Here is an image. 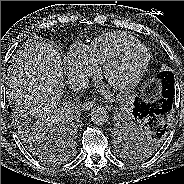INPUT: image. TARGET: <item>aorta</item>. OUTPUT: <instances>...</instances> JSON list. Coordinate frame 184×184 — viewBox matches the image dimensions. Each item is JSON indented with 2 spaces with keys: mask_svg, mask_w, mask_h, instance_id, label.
Instances as JSON below:
<instances>
[{
  "mask_svg": "<svg viewBox=\"0 0 184 184\" xmlns=\"http://www.w3.org/2000/svg\"><path fill=\"white\" fill-rule=\"evenodd\" d=\"M90 118L96 125H103L108 121L109 114L106 108L96 106L91 109Z\"/></svg>",
  "mask_w": 184,
  "mask_h": 184,
  "instance_id": "aorta-1",
  "label": "aorta"
}]
</instances>
